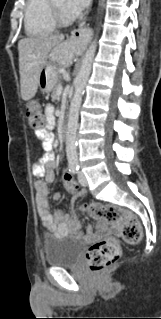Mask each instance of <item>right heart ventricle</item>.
I'll list each match as a JSON object with an SVG mask.
<instances>
[{
	"instance_id": "e07e8e85",
	"label": "right heart ventricle",
	"mask_w": 161,
	"mask_h": 319,
	"mask_svg": "<svg viewBox=\"0 0 161 319\" xmlns=\"http://www.w3.org/2000/svg\"><path fill=\"white\" fill-rule=\"evenodd\" d=\"M25 33L40 37L51 33L56 23L50 11V0H27L24 15Z\"/></svg>"
}]
</instances>
